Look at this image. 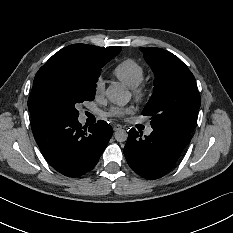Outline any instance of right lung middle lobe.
Wrapping results in <instances>:
<instances>
[{
	"mask_svg": "<svg viewBox=\"0 0 233 233\" xmlns=\"http://www.w3.org/2000/svg\"><path fill=\"white\" fill-rule=\"evenodd\" d=\"M99 75L100 72L90 75L61 66L47 69L28 100L32 121L77 119V105L94 99Z\"/></svg>",
	"mask_w": 233,
	"mask_h": 233,
	"instance_id": "right-lung-middle-lobe-1",
	"label": "right lung middle lobe"
}]
</instances>
